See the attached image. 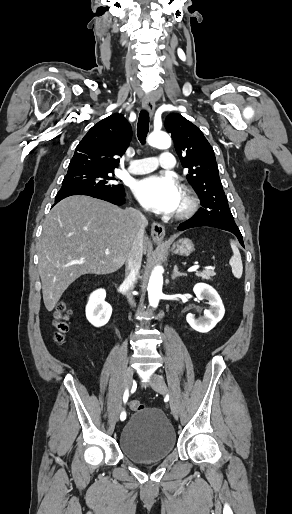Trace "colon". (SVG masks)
I'll use <instances>...</instances> for the list:
<instances>
[{
  "instance_id": "obj_1",
  "label": "colon",
  "mask_w": 292,
  "mask_h": 514,
  "mask_svg": "<svg viewBox=\"0 0 292 514\" xmlns=\"http://www.w3.org/2000/svg\"><path fill=\"white\" fill-rule=\"evenodd\" d=\"M68 319L69 312L67 311V306L63 303L59 304L57 311L52 318V337L53 341L57 344L62 343L64 340V335L68 328ZM128 406L134 412H142L144 410V405L136 399L129 400Z\"/></svg>"
}]
</instances>
